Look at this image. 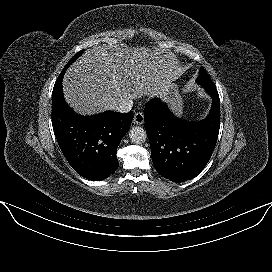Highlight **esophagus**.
Here are the masks:
<instances>
[{"label":"esophagus","mask_w":272,"mask_h":272,"mask_svg":"<svg viewBox=\"0 0 272 272\" xmlns=\"http://www.w3.org/2000/svg\"><path fill=\"white\" fill-rule=\"evenodd\" d=\"M133 123L137 125H142L144 123V115L142 112L135 113Z\"/></svg>","instance_id":"esophagus-1"}]
</instances>
